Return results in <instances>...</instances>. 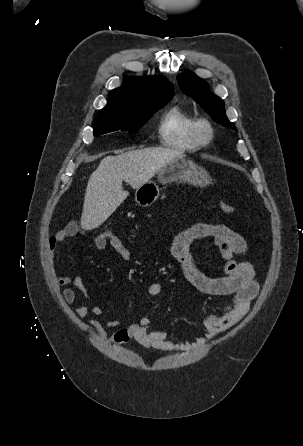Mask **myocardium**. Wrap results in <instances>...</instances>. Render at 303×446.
<instances>
[{"label":"myocardium","mask_w":303,"mask_h":446,"mask_svg":"<svg viewBox=\"0 0 303 446\" xmlns=\"http://www.w3.org/2000/svg\"><path fill=\"white\" fill-rule=\"evenodd\" d=\"M194 134L200 145H209L215 135L214 127L207 118L196 119L194 125Z\"/></svg>","instance_id":"obj_1"}]
</instances>
